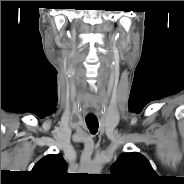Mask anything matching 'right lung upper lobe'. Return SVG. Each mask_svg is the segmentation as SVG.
<instances>
[{"label":"right lung upper lobe","mask_w":184,"mask_h":184,"mask_svg":"<svg viewBox=\"0 0 184 184\" xmlns=\"http://www.w3.org/2000/svg\"><path fill=\"white\" fill-rule=\"evenodd\" d=\"M67 163L61 154L47 155L32 169L39 182L44 184H62L67 181Z\"/></svg>","instance_id":"1"}]
</instances>
